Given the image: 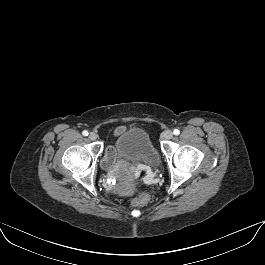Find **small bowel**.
<instances>
[{"mask_svg": "<svg viewBox=\"0 0 265 265\" xmlns=\"http://www.w3.org/2000/svg\"><path fill=\"white\" fill-rule=\"evenodd\" d=\"M112 159H113V151L112 148H109L104 156L103 165L105 167H109L111 165ZM129 192H132V190H129Z\"/></svg>", "mask_w": 265, "mask_h": 265, "instance_id": "1", "label": "small bowel"}]
</instances>
